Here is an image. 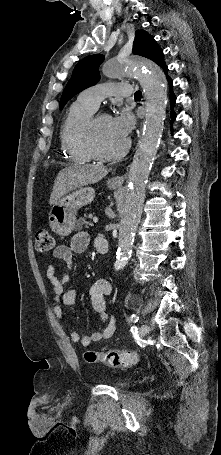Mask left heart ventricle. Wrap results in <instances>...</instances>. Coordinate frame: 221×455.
<instances>
[{"label":"left heart ventricle","instance_id":"b2bd125f","mask_svg":"<svg viewBox=\"0 0 221 455\" xmlns=\"http://www.w3.org/2000/svg\"><path fill=\"white\" fill-rule=\"evenodd\" d=\"M116 131L112 118L100 115L96 121L95 143L98 150L102 153H112L122 147L125 142Z\"/></svg>","mask_w":221,"mask_h":455}]
</instances>
